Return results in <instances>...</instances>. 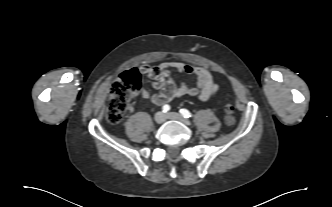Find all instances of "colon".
<instances>
[{"instance_id": "obj_1", "label": "colon", "mask_w": 332, "mask_h": 207, "mask_svg": "<svg viewBox=\"0 0 332 207\" xmlns=\"http://www.w3.org/2000/svg\"><path fill=\"white\" fill-rule=\"evenodd\" d=\"M141 92V77L137 69H130L122 73L112 84L109 104L106 112L107 120L111 123L120 122L126 114L130 100ZM225 123L233 125L234 106L228 102L225 105Z\"/></svg>"}]
</instances>
